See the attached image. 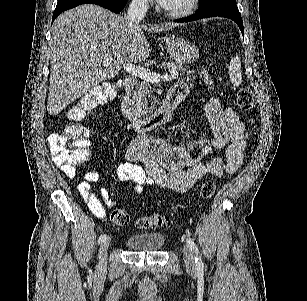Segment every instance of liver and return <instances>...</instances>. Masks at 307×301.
Returning a JSON list of instances; mask_svg holds the SVG:
<instances>
[{"instance_id": "6515ba94", "label": "liver", "mask_w": 307, "mask_h": 301, "mask_svg": "<svg viewBox=\"0 0 307 301\" xmlns=\"http://www.w3.org/2000/svg\"><path fill=\"white\" fill-rule=\"evenodd\" d=\"M178 24H136L98 4H80L55 18L51 26L48 114H59L101 80L114 78L125 64L142 62L151 48L144 34ZM112 58L103 66L102 62Z\"/></svg>"}]
</instances>
